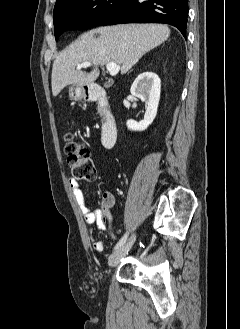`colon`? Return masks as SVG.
Masks as SVG:
<instances>
[{"label":"colon","mask_w":240,"mask_h":329,"mask_svg":"<svg viewBox=\"0 0 240 329\" xmlns=\"http://www.w3.org/2000/svg\"><path fill=\"white\" fill-rule=\"evenodd\" d=\"M65 154L77 180L92 181L96 178V168L88 147L72 135L66 136ZM108 198L104 199L106 202Z\"/></svg>","instance_id":"colon-1"}]
</instances>
